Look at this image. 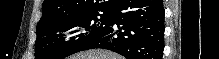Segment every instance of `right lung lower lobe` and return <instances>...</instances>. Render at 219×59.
<instances>
[{
	"instance_id": "right-lung-lower-lobe-1",
	"label": "right lung lower lobe",
	"mask_w": 219,
	"mask_h": 59,
	"mask_svg": "<svg viewBox=\"0 0 219 59\" xmlns=\"http://www.w3.org/2000/svg\"><path fill=\"white\" fill-rule=\"evenodd\" d=\"M163 37L162 0H116L108 28L81 51L103 48L127 59H162Z\"/></svg>"
}]
</instances>
